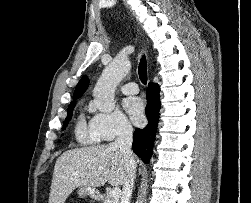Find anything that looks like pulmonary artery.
<instances>
[{
	"mask_svg": "<svg viewBox=\"0 0 251 203\" xmlns=\"http://www.w3.org/2000/svg\"><path fill=\"white\" fill-rule=\"evenodd\" d=\"M120 90L124 94H136L139 91L138 85L135 82H129L120 86Z\"/></svg>",
	"mask_w": 251,
	"mask_h": 203,
	"instance_id": "1",
	"label": "pulmonary artery"
}]
</instances>
